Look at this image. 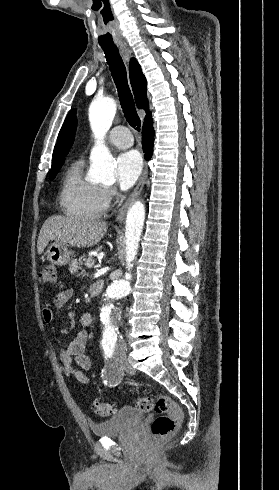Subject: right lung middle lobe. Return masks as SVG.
<instances>
[{"mask_svg": "<svg viewBox=\"0 0 279 490\" xmlns=\"http://www.w3.org/2000/svg\"><path fill=\"white\" fill-rule=\"evenodd\" d=\"M59 169H60V167L55 168V169H53V170L50 171V176H49V179L50 180L54 179V177L56 176V174H57V172H58Z\"/></svg>", "mask_w": 279, "mask_h": 490, "instance_id": "obj_1", "label": "right lung middle lobe"}]
</instances>
